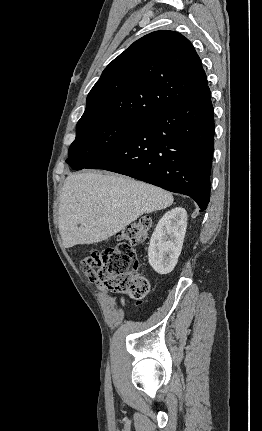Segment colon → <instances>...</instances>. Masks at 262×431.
Wrapping results in <instances>:
<instances>
[{
	"mask_svg": "<svg viewBox=\"0 0 262 431\" xmlns=\"http://www.w3.org/2000/svg\"><path fill=\"white\" fill-rule=\"evenodd\" d=\"M151 229V219L142 218L120 231L115 244L97 251L95 256H82V271L111 292L126 293L142 300L148 293L149 283L139 272L138 257L133 247L142 243Z\"/></svg>",
	"mask_w": 262,
	"mask_h": 431,
	"instance_id": "1",
	"label": "colon"
}]
</instances>
